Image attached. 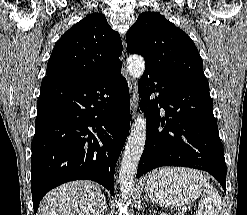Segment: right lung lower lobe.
Returning a JSON list of instances; mask_svg holds the SVG:
<instances>
[{
	"instance_id": "obj_1",
	"label": "right lung lower lobe",
	"mask_w": 247,
	"mask_h": 215,
	"mask_svg": "<svg viewBox=\"0 0 247 215\" xmlns=\"http://www.w3.org/2000/svg\"><path fill=\"white\" fill-rule=\"evenodd\" d=\"M122 64L85 83L45 77L32 141L34 212L45 194L72 180H93L114 196V171L130 127Z\"/></svg>"
}]
</instances>
